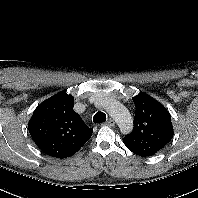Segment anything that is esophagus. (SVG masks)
<instances>
[{
    "label": "esophagus",
    "mask_w": 198,
    "mask_h": 198,
    "mask_svg": "<svg viewBox=\"0 0 198 198\" xmlns=\"http://www.w3.org/2000/svg\"><path fill=\"white\" fill-rule=\"evenodd\" d=\"M105 125L112 127V126L115 125V121H114L113 119H109V120L105 123Z\"/></svg>",
    "instance_id": "34e87169"
}]
</instances>
